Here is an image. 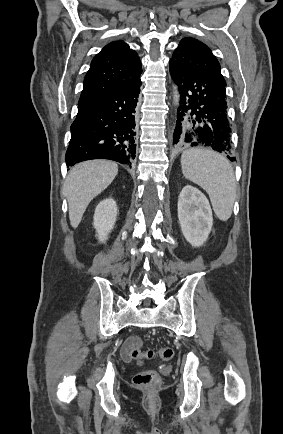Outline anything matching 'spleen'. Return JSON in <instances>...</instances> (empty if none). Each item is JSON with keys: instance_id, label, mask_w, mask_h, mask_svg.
Listing matches in <instances>:
<instances>
[{"instance_id": "obj_1", "label": "spleen", "mask_w": 283, "mask_h": 434, "mask_svg": "<svg viewBox=\"0 0 283 434\" xmlns=\"http://www.w3.org/2000/svg\"><path fill=\"white\" fill-rule=\"evenodd\" d=\"M183 175L209 195L216 216L227 221L236 196L234 171L229 161L210 150L189 149L181 155Z\"/></svg>"}]
</instances>
